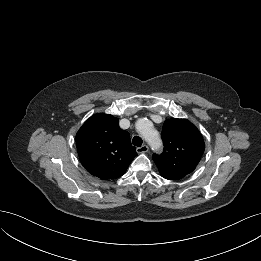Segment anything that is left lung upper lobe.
Masks as SVG:
<instances>
[{"label":"left lung upper lobe","mask_w":261,"mask_h":261,"mask_svg":"<svg viewBox=\"0 0 261 261\" xmlns=\"http://www.w3.org/2000/svg\"><path fill=\"white\" fill-rule=\"evenodd\" d=\"M164 150L153 155L160 174L179 180L194 171L205 149L200 131L186 119H167L162 128Z\"/></svg>","instance_id":"5c2ea615"}]
</instances>
